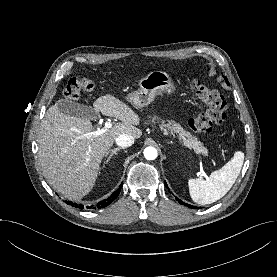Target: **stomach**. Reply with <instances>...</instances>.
<instances>
[{"label": "stomach", "mask_w": 277, "mask_h": 277, "mask_svg": "<svg viewBox=\"0 0 277 277\" xmlns=\"http://www.w3.org/2000/svg\"><path fill=\"white\" fill-rule=\"evenodd\" d=\"M174 90V83L167 72L152 71L139 81V89L128 94L126 100L135 108H143L153 102L157 94Z\"/></svg>", "instance_id": "0dacf381"}]
</instances>
